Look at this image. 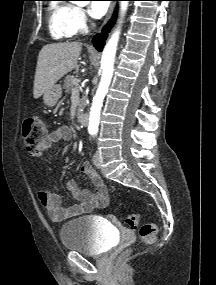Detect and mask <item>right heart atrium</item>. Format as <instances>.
<instances>
[{
    "mask_svg": "<svg viewBox=\"0 0 216 285\" xmlns=\"http://www.w3.org/2000/svg\"><path fill=\"white\" fill-rule=\"evenodd\" d=\"M72 21L76 32H83L89 25L86 11L81 7H73Z\"/></svg>",
    "mask_w": 216,
    "mask_h": 285,
    "instance_id": "d8ad5b80",
    "label": "right heart atrium"
}]
</instances>
